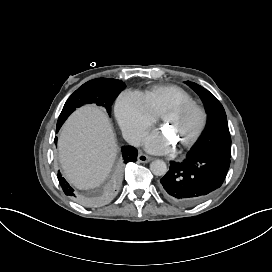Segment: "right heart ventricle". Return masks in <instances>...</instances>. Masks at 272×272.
<instances>
[{
	"instance_id": "1",
	"label": "right heart ventricle",
	"mask_w": 272,
	"mask_h": 272,
	"mask_svg": "<svg viewBox=\"0 0 272 272\" xmlns=\"http://www.w3.org/2000/svg\"><path fill=\"white\" fill-rule=\"evenodd\" d=\"M151 109L155 114H161L172 102H192L190 96L181 88L173 85L155 87L145 93Z\"/></svg>"
}]
</instances>
